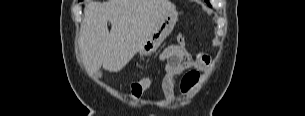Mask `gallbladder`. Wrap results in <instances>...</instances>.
Wrapping results in <instances>:
<instances>
[{"mask_svg": "<svg viewBox=\"0 0 305 116\" xmlns=\"http://www.w3.org/2000/svg\"><path fill=\"white\" fill-rule=\"evenodd\" d=\"M101 75H102L101 72H96L93 74V76H95V77H101Z\"/></svg>", "mask_w": 305, "mask_h": 116, "instance_id": "gallbladder-1", "label": "gallbladder"}]
</instances>
